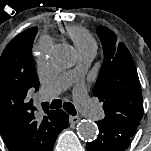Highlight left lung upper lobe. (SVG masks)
Listing matches in <instances>:
<instances>
[{
	"label": "left lung upper lobe",
	"mask_w": 151,
	"mask_h": 151,
	"mask_svg": "<svg viewBox=\"0 0 151 151\" xmlns=\"http://www.w3.org/2000/svg\"><path fill=\"white\" fill-rule=\"evenodd\" d=\"M97 34L105 56L93 89V95L104 103L101 122L132 137L144 113L136 66L127 47L110 29L99 26Z\"/></svg>",
	"instance_id": "5c2ea615"
}]
</instances>
